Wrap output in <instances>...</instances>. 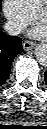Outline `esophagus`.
Instances as JSON below:
<instances>
[{
    "label": "esophagus",
    "mask_w": 47,
    "mask_h": 129,
    "mask_svg": "<svg viewBox=\"0 0 47 129\" xmlns=\"http://www.w3.org/2000/svg\"><path fill=\"white\" fill-rule=\"evenodd\" d=\"M34 46H35V43H33L31 41H28V40L27 41H24V43H23V48L26 51L33 49Z\"/></svg>",
    "instance_id": "obj_1"
}]
</instances>
